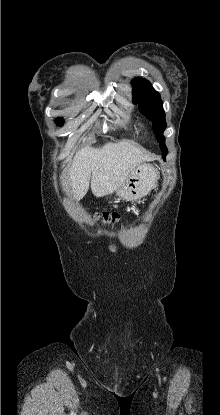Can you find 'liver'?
<instances>
[{
	"label": "liver",
	"instance_id": "6515ba94",
	"mask_svg": "<svg viewBox=\"0 0 220 415\" xmlns=\"http://www.w3.org/2000/svg\"><path fill=\"white\" fill-rule=\"evenodd\" d=\"M146 159L142 151L129 142H110L97 148L86 146L75 154L67 183L76 200L86 195L90 179L95 196L112 194Z\"/></svg>",
	"mask_w": 220,
	"mask_h": 415
}]
</instances>
